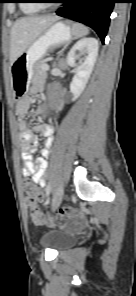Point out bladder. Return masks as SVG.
I'll use <instances>...</instances> for the list:
<instances>
[{
  "label": "bladder",
  "mask_w": 136,
  "mask_h": 296,
  "mask_svg": "<svg viewBox=\"0 0 136 296\" xmlns=\"http://www.w3.org/2000/svg\"><path fill=\"white\" fill-rule=\"evenodd\" d=\"M75 240V236L64 230H52L47 232L41 239L44 247L52 249H62L70 246Z\"/></svg>",
  "instance_id": "31cf9c89"
}]
</instances>
